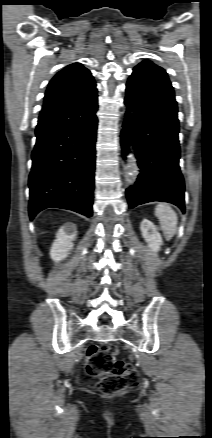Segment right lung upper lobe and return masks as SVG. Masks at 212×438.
I'll return each instance as SVG.
<instances>
[{
	"mask_svg": "<svg viewBox=\"0 0 212 438\" xmlns=\"http://www.w3.org/2000/svg\"><path fill=\"white\" fill-rule=\"evenodd\" d=\"M96 95V84L90 71L80 63H74L58 72L50 81L42 109L81 103Z\"/></svg>",
	"mask_w": 212,
	"mask_h": 438,
	"instance_id": "right-lung-upper-lobe-1",
	"label": "right lung upper lobe"
}]
</instances>
